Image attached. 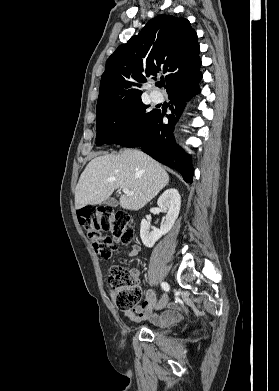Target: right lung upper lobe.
<instances>
[{"instance_id":"obj_1","label":"right lung upper lobe","mask_w":279,"mask_h":391,"mask_svg":"<svg viewBox=\"0 0 279 391\" xmlns=\"http://www.w3.org/2000/svg\"><path fill=\"white\" fill-rule=\"evenodd\" d=\"M197 34L184 18L162 14L150 20L138 35L120 45L108 58L101 77L97 113L141 100L148 78L165 74L169 93L199 72Z\"/></svg>"}]
</instances>
